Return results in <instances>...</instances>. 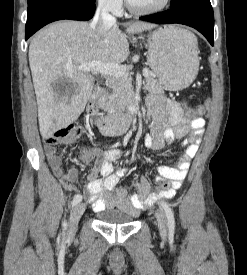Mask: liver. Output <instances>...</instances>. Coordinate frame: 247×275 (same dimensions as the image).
Instances as JSON below:
<instances>
[{
  "mask_svg": "<svg viewBox=\"0 0 247 275\" xmlns=\"http://www.w3.org/2000/svg\"><path fill=\"white\" fill-rule=\"evenodd\" d=\"M152 23L135 22L126 32L140 33L155 28ZM129 55V44L117 26L98 34L86 22L59 21L41 30L31 40L29 64L35 89L41 136L53 134L75 122L92 93L95 79L85 71H68L66 66L99 61L119 64ZM65 79L71 91L58 94L53 84Z\"/></svg>",
  "mask_w": 247,
  "mask_h": 275,
  "instance_id": "liver-1",
  "label": "liver"
}]
</instances>
